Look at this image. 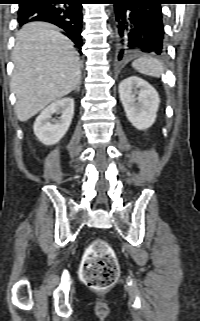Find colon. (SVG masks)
<instances>
[{"instance_id": "colon-1", "label": "colon", "mask_w": 200, "mask_h": 321, "mask_svg": "<svg viewBox=\"0 0 200 321\" xmlns=\"http://www.w3.org/2000/svg\"><path fill=\"white\" fill-rule=\"evenodd\" d=\"M119 275L113 249L104 240L94 241L86 251L81 277L91 288L103 290L110 287Z\"/></svg>"}]
</instances>
